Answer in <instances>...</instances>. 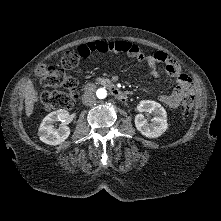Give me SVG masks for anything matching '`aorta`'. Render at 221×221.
<instances>
[{"mask_svg": "<svg viewBox=\"0 0 221 221\" xmlns=\"http://www.w3.org/2000/svg\"><path fill=\"white\" fill-rule=\"evenodd\" d=\"M96 95L99 99H104L107 96V91L104 88H99L96 92Z\"/></svg>", "mask_w": 221, "mask_h": 221, "instance_id": "obj_1", "label": "aorta"}]
</instances>
